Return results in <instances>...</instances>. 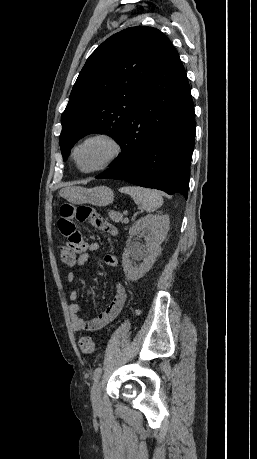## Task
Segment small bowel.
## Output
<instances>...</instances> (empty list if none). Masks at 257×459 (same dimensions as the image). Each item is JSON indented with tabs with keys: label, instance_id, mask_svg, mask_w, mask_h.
<instances>
[{
	"label": "small bowel",
	"instance_id": "c3829d8e",
	"mask_svg": "<svg viewBox=\"0 0 257 459\" xmlns=\"http://www.w3.org/2000/svg\"><path fill=\"white\" fill-rule=\"evenodd\" d=\"M58 218L57 228L61 236H66L69 251H74V255L77 257L74 263L76 266L85 265L89 260L90 253L99 248V244L96 242H85V237L79 232L80 226H91L93 229H99L111 236H117L118 233L114 225L100 218L98 208H91L90 205H75L73 200H68L66 205L61 206ZM104 264L109 268H116L117 259L113 255H106ZM66 278L68 283L73 284L77 280V275L74 271H70ZM78 297L79 293L76 289L69 294L71 303L68 309L73 329L76 331H97L120 315L127 300V291L122 284L117 283L116 294L108 307L97 317L89 320H85L80 315L81 307L76 302Z\"/></svg>",
	"mask_w": 257,
	"mask_h": 459
}]
</instances>
